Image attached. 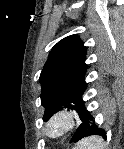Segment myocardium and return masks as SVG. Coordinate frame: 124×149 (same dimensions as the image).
Masks as SVG:
<instances>
[{"instance_id": "obj_1", "label": "myocardium", "mask_w": 124, "mask_h": 149, "mask_svg": "<svg viewBox=\"0 0 124 149\" xmlns=\"http://www.w3.org/2000/svg\"><path fill=\"white\" fill-rule=\"evenodd\" d=\"M80 123V113L72 106H63L54 111L46 120L45 136L51 141H59L71 132Z\"/></svg>"}]
</instances>
